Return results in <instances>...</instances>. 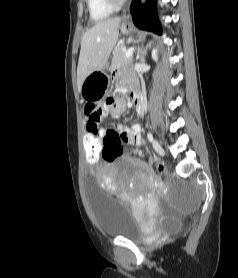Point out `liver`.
Segmentation results:
<instances>
[{
	"mask_svg": "<svg viewBox=\"0 0 238 278\" xmlns=\"http://www.w3.org/2000/svg\"><path fill=\"white\" fill-rule=\"evenodd\" d=\"M120 23L119 17L99 21L84 33L77 67L79 92L85 78L94 71L102 70L106 65L118 41Z\"/></svg>",
	"mask_w": 238,
	"mask_h": 278,
	"instance_id": "6515ba94",
	"label": "liver"
}]
</instances>
